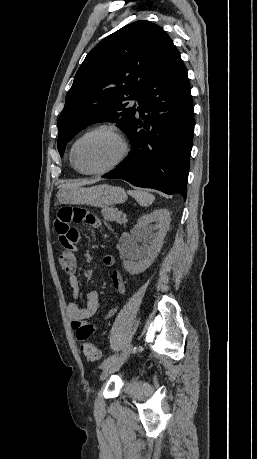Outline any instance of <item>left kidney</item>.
Instances as JSON below:
<instances>
[{
    "label": "left kidney",
    "instance_id": "obj_1",
    "mask_svg": "<svg viewBox=\"0 0 257 459\" xmlns=\"http://www.w3.org/2000/svg\"><path fill=\"white\" fill-rule=\"evenodd\" d=\"M170 222L167 209L154 210L138 219L131 233L135 239L124 251L123 266L131 275L139 274L151 266L163 246ZM137 242H149L150 245L141 247Z\"/></svg>",
    "mask_w": 257,
    "mask_h": 459
}]
</instances>
